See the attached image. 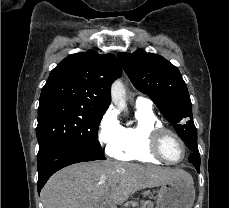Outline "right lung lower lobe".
I'll list each match as a JSON object with an SVG mask.
<instances>
[{
  "instance_id": "obj_1",
  "label": "right lung lower lobe",
  "mask_w": 229,
  "mask_h": 208,
  "mask_svg": "<svg viewBox=\"0 0 229 208\" xmlns=\"http://www.w3.org/2000/svg\"><path fill=\"white\" fill-rule=\"evenodd\" d=\"M100 159H105L102 152L92 151L74 143L60 144L51 148L37 158L39 174L37 183L38 193H40V190L51 175L63 167L74 163Z\"/></svg>"
}]
</instances>
